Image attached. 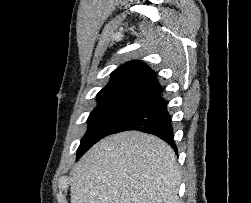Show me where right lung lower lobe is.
Wrapping results in <instances>:
<instances>
[{
    "mask_svg": "<svg viewBox=\"0 0 251 203\" xmlns=\"http://www.w3.org/2000/svg\"><path fill=\"white\" fill-rule=\"evenodd\" d=\"M138 130L144 133L156 135L167 142L177 153V147L173 140V128L171 125V117L167 111V104L163 103L142 111L131 117L121 125H119L112 134Z\"/></svg>",
    "mask_w": 251,
    "mask_h": 203,
    "instance_id": "1",
    "label": "right lung lower lobe"
}]
</instances>
